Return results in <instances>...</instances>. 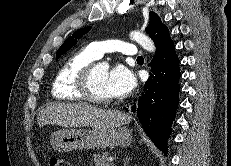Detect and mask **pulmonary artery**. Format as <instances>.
I'll use <instances>...</instances> for the list:
<instances>
[{
  "label": "pulmonary artery",
  "mask_w": 231,
  "mask_h": 166,
  "mask_svg": "<svg viewBox=\"0 0 231 166\" xmlns=\"http://www.w3.org/2000/svg\"><path fill=\"white\" fill-rule=\"evenodd\" d=\"M90 51L96 58H101L105 53L121 52L128 56H137L138 50L132 43L122 40L96 41L88 45Z\"/></svg>",
  "instance_id": "1"
}]
</instances>
